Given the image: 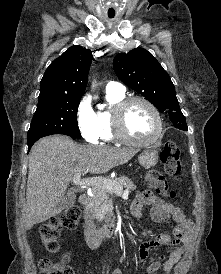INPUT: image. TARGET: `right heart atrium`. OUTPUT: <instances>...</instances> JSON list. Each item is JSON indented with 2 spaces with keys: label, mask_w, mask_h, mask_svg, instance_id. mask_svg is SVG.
<instances>
[{
  "label": "right heart atrium",
  "mask_w": 221,
  "mask_h": 274,
  "mask_svg": "<svg viewBox=\"0 0 221 274\" xmlns=\"http://www.w3.org/2000/svg\"><path fill=\"white\" fill-rule=\"evenodd\" d=\"M76 118L82 137L89 143H96L100 139V126L88 96H84L78 103Z\"/></svg>",
  "instance_id": "right-heart-atrium-1"
}]
</instances>
